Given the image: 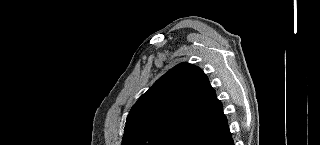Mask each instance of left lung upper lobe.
<instances>
[{
    "mask_svg": "<svg viewBox=\"0 0 320 145\" xmlns=\"http://www.w3.org/2000/svg\"><path fill=\"white\" fill-rule=\"evenodd\" d=\"M215 94L197 66L180 63L160 77L132 107L122 145H178L214 109Z\"/></svg>",
    "mask_w": 320,
    "mask_h": 145,
    "instance_id": "5c2ea615",
    "label": "left lung upper lobe"
}]
</instances>
